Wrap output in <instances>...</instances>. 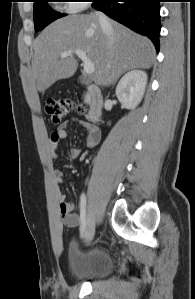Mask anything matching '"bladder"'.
Returning <instances> with one entry per match:
<instances>
[{"mask_svg":"<svg viewBox=\"0 0 195 299\" xmlns=\"http://www.w3.org/2000/svg\"><path fill=\"white\" fill-rule=\"evenodd\" d=\"M79 241L70 245L71 276L76 280L93 281L109 276L114 269L113 260L103 247H94L81 252Z\"/></svg>","mask_w":195,"mask_h":299,"instance_id":"31cf9c89","label":"bladder"}]
</instances>
